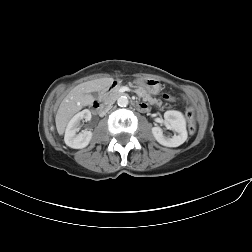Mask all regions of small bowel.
Returning <instances> with one entry per match:
<instances>
[{
  "instance_id": "small-bowel-1",
  "label": "small bowel",
  "mask_w": 252,
  "mask_h": 252,
  "mask_svg": "<svg viewBox=\"0 0 252 252\" xmlns=\"http://www.w3.org/2000/svg\"><path fill=\"white\" fill-rule=\"evenodd\" d=\"M143 105V109L142 110H146L148 108L147 104L146 103H142Z\"/></svg>"
}]
</instances>
